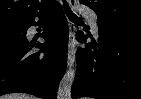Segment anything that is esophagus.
Returning a JSON list of instances; mask_svg holds the SVG:
<instances>
[{"label": "esophagus", "instance_id": "1", "mask_svg": "<svg viewBox=\"0 0 141 99\" xmlns=\"http://www.w3.org/2000/svg\"><path fill=\"white\" fill-rule=\"evenodd\" d=\"M68 3L72 9L76 7V0H68ZM76 48H75V25L69 22V44H68V57L67 65L72 67L75 62Z\"/></svg>", "mask_w": 141, "mask_h": 99}]
</instances>
